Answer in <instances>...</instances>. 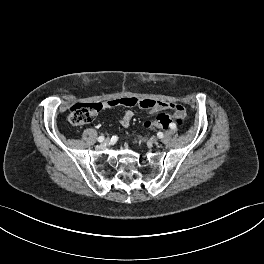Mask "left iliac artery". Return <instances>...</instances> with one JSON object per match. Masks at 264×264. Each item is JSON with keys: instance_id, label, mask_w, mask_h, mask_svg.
<instances>
[{"instance_id": "obj_1", "label": "left iliac artery", "mask_w": 264, "mask_h": 264, "mask_svg": "<svg viewBox=\"0 0 264 264\" xmlns=\"http://www.w3.org/2000/svg\"><path fill=\"white\" fill-rule=\"evenodd\" d=\"M170 127H171V129H175V128H176V125H175L174 123H172V124L170 125Z\"/></svg>"}]
</instances>
